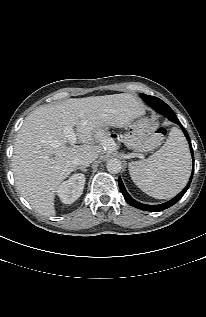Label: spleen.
<instances>
[{
    "instance_id": "1",
    "label": "spleen",
    "mask_w": 206,
    "mask_h": 317,
    "mask_svg": "<svg viewBox=\"0 0 206 317\" xmlns=\"http://www.w3.org/2000/svg\"><path fill=\"white\" fill-rule=\"evenodd\" d=\"M191 171L189 148L182 132L174 127L164 145L149 158L129 163L131 179L156 199L175 196L186 185Z\"/></svg>"
}]
</instances>
